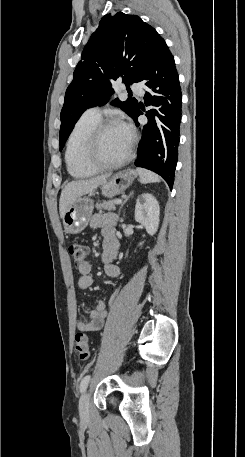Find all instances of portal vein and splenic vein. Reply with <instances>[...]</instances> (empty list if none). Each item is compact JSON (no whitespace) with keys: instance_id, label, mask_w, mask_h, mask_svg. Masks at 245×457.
<instances>
[{"instance_id":"obj_1","label":"portal vein and splenic vein","mask_w":245,"mask_h":457,"mask_svg":"<svg viewBox=\"0 0 245 457\" xmlns=\"http://www.w3.org/2000/svg\"><path fill=\"white\" fill-rule=\"evenodd\" d=\"M116 204H120V202H122L121 198H117V200H115Z\"/></svg>"}]
</instances>
